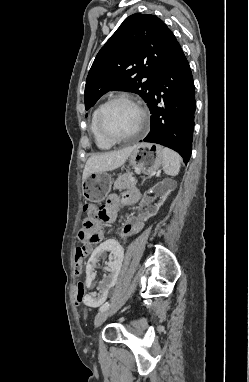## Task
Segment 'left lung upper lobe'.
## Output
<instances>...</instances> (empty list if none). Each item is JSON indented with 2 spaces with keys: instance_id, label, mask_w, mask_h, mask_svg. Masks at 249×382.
Here are the masks:
<instances>
[{
  "instance_id": "left-lung-upper-lobe-1",
  "label": "left lung upper lobe",
  "mask_w": 249,
  "mask_h": 382,
  "mask_svg": "<svg viewBox=\"0 0 249 382\" xmlns=\"http://www.w3.org/2000/svg\"><path fill=\"white\" fill-rule=\"evenodd\" d=\"M177 43L172 31L155 15L136 13L126 18L101 48L88 73L86 110L113 90L134 92L148 104Z\"/></svg>"
}]
</instances>
